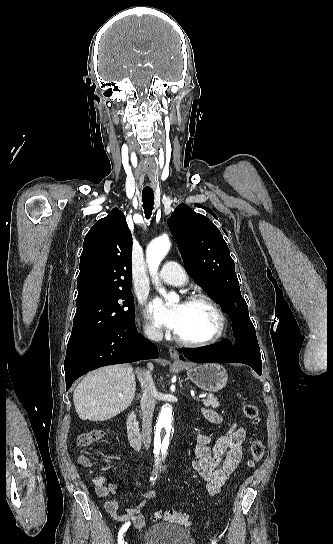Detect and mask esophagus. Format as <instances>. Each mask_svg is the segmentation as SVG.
Returning <instances> with one entry per match:
<instances>
[{"instance_id": "esophagus-1", "label": "esophagus", "mask_w": 333, "mask_h": 544, "mask_svg": "<svg viewBox=\"0 0 333 544\" xmlns=\"http://www.w3.org/2000/svg\"><path fill=\"white\" fill-rule=\"evenodd\" d=\"M168 352H169L170 357H171L173 360H175L176 362L179 361V354H178L177 350H175L174 348L170 347L169 350H168Z\"/></svg>"}]
</instances>
